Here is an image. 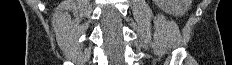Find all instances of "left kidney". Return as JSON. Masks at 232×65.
<instances>
[{
    "instance_id": "5707ae66",
    "label": "left kidney",
    "mask_w": 232,
    "mask_h": 65,
    "mask_svg": "<svg viewBox=\"0 0 232 65\" xmlns=\"http://www.w3.org/2000/svg\"><path fill=\"white\" fill-rule=\"evenodd\" d=\"M157 6L170 15H184L191 4V0H154Z\"/></svg>"
}]
</instances>
